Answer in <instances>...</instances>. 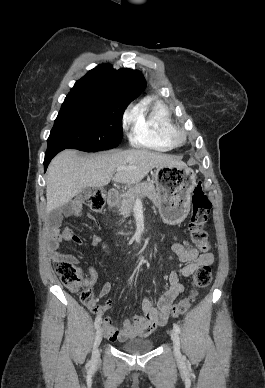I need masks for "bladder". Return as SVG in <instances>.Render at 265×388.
<instances>
[{
  "mask_svg": "<svg viewBox=\"0 0 265 388\" xmlns=\"http://www.w3.org/2000/svg\"><path fill=\"white\" fill-rule=\"evenodd\" d=\"M155 345L154 341H148L144 338L132 339L123 343L121 349L131 353L150 352Z\"/></svg>",
  "mask_w": 265,
  "mask_h": 388,
  "instance_id": "31cf9c89",
  "label": "bladder"
}]
</instances>
